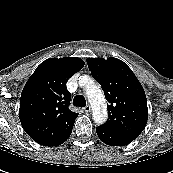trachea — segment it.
<instances>
[{
    "label": "trachea",
    "mask_w": 173,
    "mask_h": 173,
    "mask_svg": "<svg viewBox=\"0 0 173 173\" xmlns=\"http://www.w3.org/2000/svg\"><path fill=\"white\" fill-rule=\"evenodd\" d=\"M73 105L75 107H85L86 106V100L82 95H76L73 99Z\"/></svg>",
    "instance_id": "obj_1"
}]
</instances>
